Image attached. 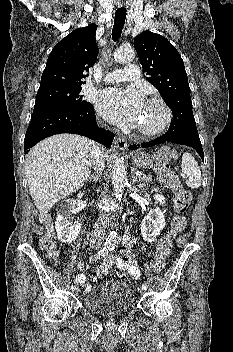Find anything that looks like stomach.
Segmentation results:
<instances>
[{
	"label": "stomach",
	"instance_id": "obj_1",
	"mask_svg": "<svg viewBox=\"0 0 233 352\" xmlns=\"http://www.w3.org/2000/svg\"><path fill=\"white\" fill-rule=\"evenodd\" d=\"M153 161H154L153 156H150L143 152L136 153L133 156L134 166L140 169L141 168L146 169V168L152 167Z\"/></svg>",
	"mask_w": 233,
	"mask_h": 352
}]
</instances>
